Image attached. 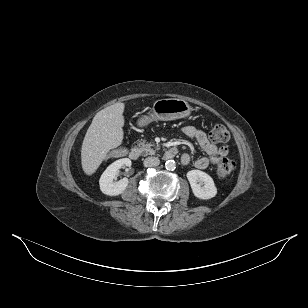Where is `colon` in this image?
I'll return each mask as SVG.
<instances>
[{
	"instance_id": "colon-1",
	"label": "colon",
	"mask_w": 308,
	"mask_h": 308,
	"mask_svg": "<svg viewBox=\"0 0 308 308\" xmlns=\"http://www.w3.org/2000/svg\"><path fill=\"white\" fill-rule=\"evenodd\" d=\"M210 138L214 142L225 143L229 140L230 134L224 125L216 124L210 132ZM129 151H130L129 146L123 144L120 147L119 146L114 147L112 150V154L114 157L119 158L122 156V154L123 155L128 154ZM234 169H235V163L232 160L224 157L219 160L217 164L216 173L220 179H228L232 175Z\"/></svg>"
}]
</instances>
